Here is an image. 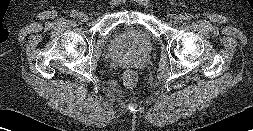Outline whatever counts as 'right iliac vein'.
I'll use <instances>...</instances> for the list:
<instances>
[{"mask_svg":"<svg viewBox=\"0 0 253 131\" xmlns=\"http://www.w3.org/2000/svg\"><path fill=\"white\" fill-rule=\"evenodd\" d=\"M78 17H79V19H80L81 21H83V22L88 21V15H87L86 13H84V12H80V13L78 14Z\"/></svg>","mask_w":253,"mask_h":131,"instance_id":"63e3f726","label":"right iliac vein"}]
</instances>
